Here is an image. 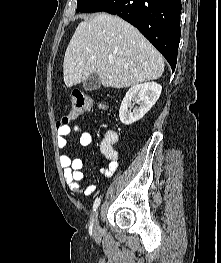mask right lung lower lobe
<instances>
[{"instance_id": "obj_1", "label": "right lung lower lobe", "mask_w": 221, "mask_h": 263, "mask_svg": "<svg viewBox=\"0 0 221 263\" xmlns=\"http://www.w3.org/2000/svg\"><path fill=\"white\" fill-rule=\"evenodd\" d=\"M181 0H104L93 12L115 14L135 26L169 62H177Z\"/></svg>"}]
</instances>
